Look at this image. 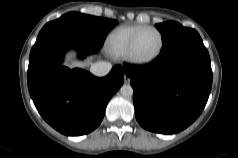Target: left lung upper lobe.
<instances>
[{"instance_id":"1","label":"left lung upper lobe","mask_w":238,"mask_h":158,"mask_svg":"<svg viewBox=\"0 0 238 158\" xmlns=\"http://www.w3.org/2000/svg\"><path fill=\"white\" fill-rule=\"evenodd\" d=\"M156 27L162 33L163 49L198 34L194 29L185 28L174 21L156 24Z\"/></svg>"}]
</instances>
